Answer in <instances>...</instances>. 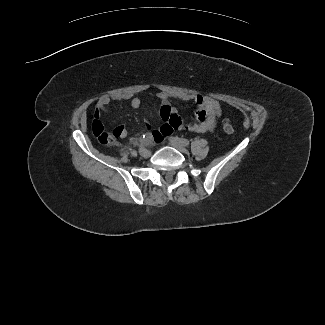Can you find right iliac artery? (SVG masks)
Masks as SVG:
<instances>
[{
    "mask_svg": "<svg viewBox=\"0 0 325 325\" xmlns=\"http://www.w3.org/2000/svg\"><path fill=\"white\" fill-rule=\"evenodd\" d=\"M145 150V148L143 147V146H140L139 147V152H142V151H144Z\"/></svg>",
    "mask_w": 325,
    "mask_h": 325,
    "instance_id": "right-iliac-artery-1",
    "label": "right iliac artery"
}]
</instances>
